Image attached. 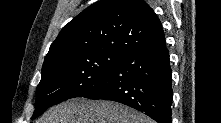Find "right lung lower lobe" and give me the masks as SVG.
<instances>
[{
    "instance_id": "right-lung-lower-lobe-1",
    "label": "right lung lower lobe",
    "mask_w": 221,
    "mask_h": 123,
    "mask_svg": "<svg viewBox=\"0 0 221 123\" xmlns=\"http://www.w3.org/2000/svg\"><path fill=\"white\" fill-rule=\"evenodd\" d=\"M83 97L116 101L145 113L157 123H170L173 91L165 44L127 54L96 90Z\"/></svg>"
}]
</instances>
